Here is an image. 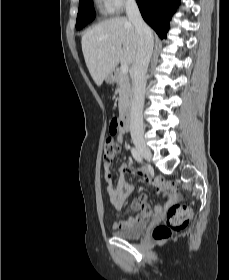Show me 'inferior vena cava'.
Wrapping results in <instances>:
<instances>
[{
    "mask_svg": "<svg viewBox=\"0 0 229 280\" xmlns=\"http://www.w3.org/2000/svg\"><path fill=\"white\" fill-rule=\"evenodd\" d=\"M126 13L133 23L138 37L137 53L133 62V100L131 106L130 132L132 136H142L143 106L146 87V73L153 51V34L143 21L135 0H128Z\"/></svg>",
    "mask_w": 229,
    "mask_h": 280,
    "instance_id": "602c4592",
    "label": "inferior vena cava"
}]
</instances>
